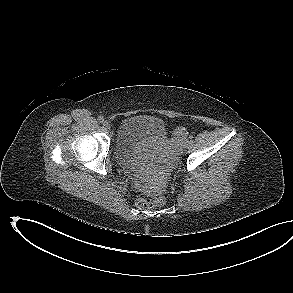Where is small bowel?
Returning a JSON list of instances; mask_svg holds the SVG:
<instances>
[{"label":"small bowel","mask_w":293,"mask_h":293,"mask_svg":"<svg viewBox=\"0 0 293 293\" xmlns=\"http://www.w3.org/2000/svg\"><path fill=\"white\" fill-rule=\"evenodd\" d=\"M181 131H182V132H181V134H184V131H183V129H181Z\"/></svg>","instance_id":"c3829d8e"}]
</instances>
